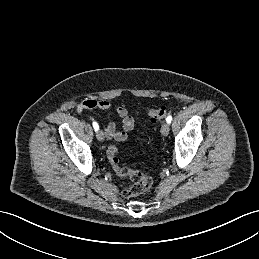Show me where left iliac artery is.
I'll return each instance as SVG.
<instances>
[{"mask_svg":"<svg viewBox=\"0 0 259 259\" xmlns=\"http://www.w3.org/2000/svg\"><path fill=\"white\" fill-rule=\"evenodd\" d=\"M171 121H172V116L169 115V116L166 118V122H167L168 124H170Z\"/></svg>","mask_w":259,"mask_h":259,"instance_id":"1","label":"left iliac artery"}]
</instances>
